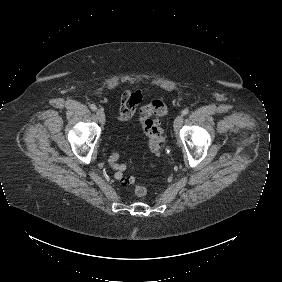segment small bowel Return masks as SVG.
Instances as JSON below:
<instances>
[{
    "mask_svg": "<svg viewBox=\"0 0 282 282\" xmlns=\"http://www.w3.org/2000/svg\"><path fill=\"white\" fill-rule=\"evenodd\" d=\"M143 93L141 89H126L120 96L119 110L117 119L128 121L132 119L141 106Z\"/></svg>",
    "mask_w": 282,
    "mask_h": 282,
    "instance_id": "small-bowel-1",
    "label": "small bowel"
}]
</instances>
